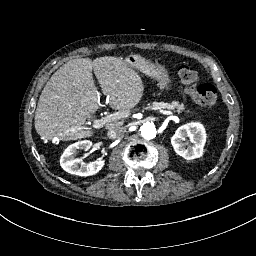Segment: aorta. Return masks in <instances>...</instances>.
<instances>
[{"label":"aorta","instance_id":"obj_1","mask_svg":"<svg viewBox=\"0 0 256 256\" xmlns=\"http://www.w3.org/2000/svg\"><path fill=\"white\" fill-rule=\"evenodd\" d=\"M141 135L146 140H151L157 135V126L153 122L144 123L141 128Z\"/></svg>","mask_w":256,"mask_h":256}]
</instances>
